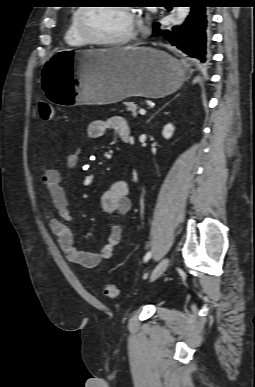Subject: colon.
I'll return each mask as SVG.
<instances>
[{
    "mask_svg": "<svg viewBox=\"0 0 255 387\" xmlns=\"http://www.w3.org/2000/svg\"><path fill=\"white\" fill-rule=\"evenodd\" d=\"M39 116L42 120H51L54 116V110L51 105L46 102H40L38 106ZM118 288L113 283H106L103 286V294L109 298H115L118 296Z\"/></svg>",
    "mask_w": 255,
    "mask_h": 387,
    "instance_id": "colon-1",
    "label": "colon"
}]
</instances>
